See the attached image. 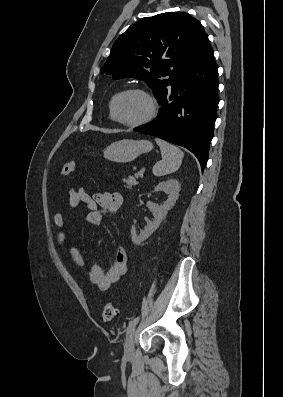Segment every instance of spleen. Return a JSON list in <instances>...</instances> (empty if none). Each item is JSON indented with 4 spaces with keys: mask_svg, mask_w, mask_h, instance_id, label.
<instances>
[{
    "mask_svg": "<svg viewBox=\"0 0 283 397\" xmlns=\"http://www.w3.org/2000/svg\"><path fill=\"white\" fill-rule=\"evenodd\" d=\"M155 142L160 147L162 160L154 165L153 174L155 176H164L177 171L181 166L184 153L177 146L159 138H155Z\"/></svg>",
    "mask_w": 283,
    "mask_h": 397,
    "instance_id": "3e777b00",
    "label": "spleen"
}]
</instances>
